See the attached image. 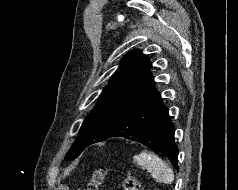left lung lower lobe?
Returning a JSON list of instances; mask_svg holds the SVG:
<instances>
[{"mask_svg":"<svg viewBox=\"0 0 238 190\" xmlns=\"http://www.w3.org/2000/svg\"><path fill=\"white\" fill-rule=\"evenodd\" d=\"M175 127L155 83L119 117L110 133L113 136L142 143L155 153L166 156L178 170V148Z\"/></svg>","mask_w":238,"mask_h":190,"instance_id":"obj_1","label":"left lung lower lobe"}]
</instances>
